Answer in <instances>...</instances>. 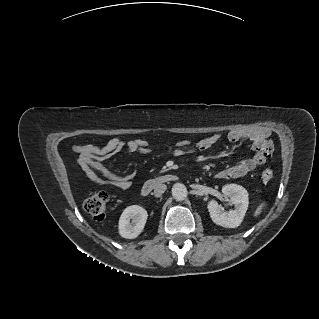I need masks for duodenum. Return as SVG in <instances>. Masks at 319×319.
Segmentation results:
<instances>
[{"label":"duodenum","instance_id":"duodenum-1","mask_svg":"<svg viewBox=\"0 0 319 319\" xmlns=\"http://www.w3.org/2000/svg\"><path fill=\"white\" fill-rule=\"evenodd\" d=\"M176 179L173 175H164L159 177H153L145 181L141 187V194L147 196L155 187L167 182H172Z\"/></svg>","mask_w":319,"mask_h":319}]
</instances>
